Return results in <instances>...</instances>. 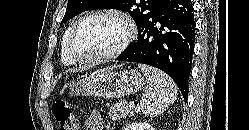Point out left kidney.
I'll list each match as a JSON object with an SVG mask.
<instances>
[{
  "mask_svg": "<svg viewBox=\"0 0 249 130\" xmlns=\"http://www.w3.org/2000/svg\"><path fill=\"white\" fill-rule=\"evenodd\" d=\"M125 130H155V129L147 122H140V123L129 124L128 126H126Z\"/></svg>",
  "mask_w": 249,
  "mask_h": 130,
  "instance_id": "1",
  "label": "left kidney"
}]
</instances>
